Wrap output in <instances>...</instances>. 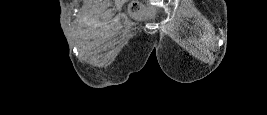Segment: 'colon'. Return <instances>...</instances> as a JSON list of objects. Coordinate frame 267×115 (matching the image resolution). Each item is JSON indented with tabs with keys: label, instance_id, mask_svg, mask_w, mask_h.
Segmentation results:
<instances>
[{
	"label": "colon",
	"instance_id": "obj_1",
	"mask_svg": "<svg viewBox=\"0 0 267 115\" xmlns=\"http://www.w3.org/2000/svg\"><path fill=\"white\" fill-rule=\"evenodd\" d=\"M136 5H137L136 3H132V4L130 5V9H131V10H134V9L136 8Z\"/></svg>",
	"mask_w": 267,
	"mask_h": 115
}]
</instances>
